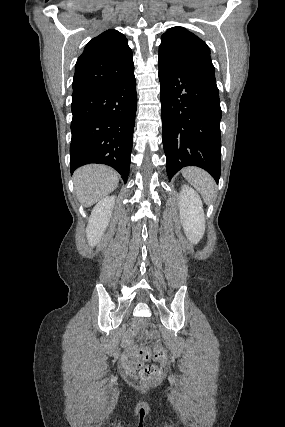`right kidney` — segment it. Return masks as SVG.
<instances>
[{"instance_id": "ca27d5eb", "label": "right kidney", "mask_w": 285, "mask_h": 427, "mask_svg": "<svg viewBox=\"0 0 285 427\" xmlns=\"http://www.w3.org/2000/svg\"><path fill=\"white\" fill-rule=\"evenodd\" d=\"M115 196H107L93 208L86 228V236L91 246H95L104 234L114 207Z\"/></svg>"}]
</instances>
